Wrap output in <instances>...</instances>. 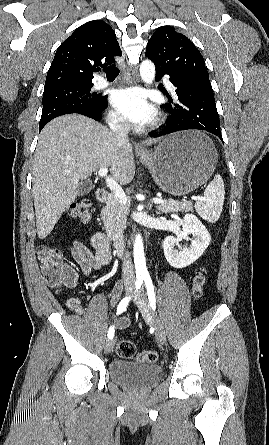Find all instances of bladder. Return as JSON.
I'll return each mask as SVG.
<instances>
[{
  "mask_svg": "<svg viewBox=\"0 0 269 445\" xmlns=\"http://www.w3.org/2000/svg\"><path fill=\"white\" fill-rule=\"evenodd\" d=\"M110 378L117 384L129 388H145L162 376L158 365H145L123 359H115L108 367Z\"/></svg>",
  "mask_w": 269,
  "mask_h": 445,
  "instance_id": "bladder-1",
  "label": "bladder"
}]
</instances>
